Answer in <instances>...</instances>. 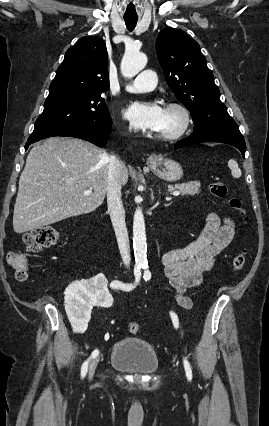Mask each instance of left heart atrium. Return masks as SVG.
I'll use <instances>...</instances> for the list:
<instances>
[{
  "mask_svg": "<svg viewBox=\"0 0 269 426\" xmlns=\"http://www.w3.org/2000/svg\"><path fill=\"white\" fill-rule=\"evenodd\" d=\"M123 117L136 129L157 131L164 117V109L155 102L134 101L123 109Z\"/></svg>",
  "mask_w": 269,
  "mask_h": 426,
  "instance_id": "1",
  "label": "left heart atrium"
}]
</instances>
